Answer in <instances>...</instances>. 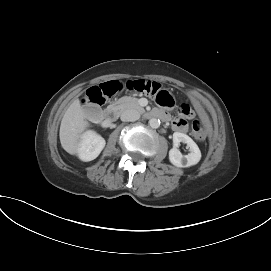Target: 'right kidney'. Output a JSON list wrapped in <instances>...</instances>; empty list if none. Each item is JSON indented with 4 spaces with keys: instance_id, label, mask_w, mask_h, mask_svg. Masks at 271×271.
I'll return each instance as SVG.
<instances>
[{
    "instance_id": "1",
    "label": "right kidney",
    "mask_w": 271,
    "mask_h": 271,
    "mask_svg": "<svg viewBox=\"0 0 271 271\" xmlns=\"http://www.w3.org/2000/svg\"><path fill=\"white\" fill-rule=\"evenodd\" d=\"M105 140L93 131L84 133L78 148V156L82 161H91L99 156L105 147Z\"/></svg>"
}]
</instances>
